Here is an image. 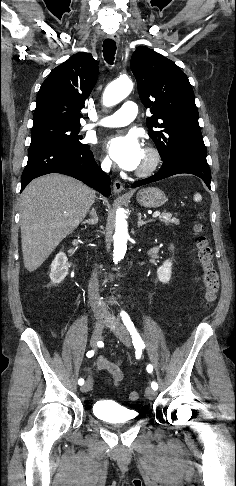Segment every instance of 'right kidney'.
<instances>
[{"mask_svg":"<svg viewBox=\"0 0 236 486\" xmlns=\"http://www.w3.org/2000/svg\"><path fill=\"white\" fill-rule=\"evenodd\" d=\"M68 274L67 257L59 252L51 264L50 279L53 284H59Z\"/></svg>","mask_w":236,"mask_h":486,"instance_id":"1","label":"right kidney"}]
</instances>
